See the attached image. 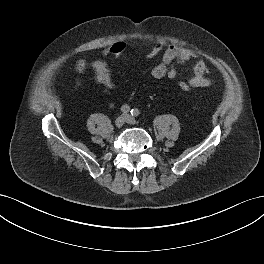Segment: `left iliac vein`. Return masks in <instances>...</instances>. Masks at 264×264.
Segmentation results:
<instances>
[{"instance_id": "obj_1", "label": "left iliac vein", "mask_w": 264, "mask_h": 264, "mask_svg": "<svg viewBox=\"0 0 264 264\" xmlns=\"http://www.w3.org/2000/svg\"><path fill=\"white\" fill-rule=\"evenodd\" d=\"M125 121L128 124H135L136 123V119L134 117H132L131 115H125Z\"/></svg>"}]
</instances>
